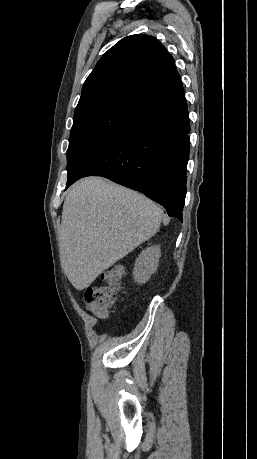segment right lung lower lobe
<instances>
[{
    "label": "right lung lower lobe",
    "instance_id": "1",
    "mask_svg": "<svg viewBox=\"0 0 257 459\" xmlns=\"http://www.w3.org/2000/svg\"><path fill=\"white\" fill-rule=\"evenodd\" d=\"M189 112L182 82L135 110L110 142L71 177L103 176L137 190L182 221L189 157Z\"/></svg>",
    "mask_w": 257,
    "mask_h": 459
}]
</instances>
